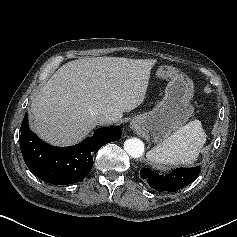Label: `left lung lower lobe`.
<instances>
[{"mask_svg":"<svg viewBox=\"0 0 237 237\" xmlns=\"http://www.w3.org/2000/svg\"><path fill=\"white\" fill-rule=\"evenodd\" d=\"M201 168H178L171 173L160 175L148 168H143L140 175L147 179L149 186L157 191L174 192L192 183L199 175Z\"/></svg>","mask_w":237,"mask_h":237,"instance_id":"0a47b994","label":"left lung lower lobe"}]
</instances>
